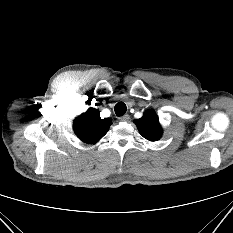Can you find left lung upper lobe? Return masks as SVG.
Masks as SVG:
<instances>
[{
    "label": "left lung upper lobe",
    "mask_w": 233,
    "mask_h": 233,
    "mask_svg": "<svg viewBox=\"0 0 233 233\" xmlns=\"http://www.w3.org/2000/svg\"><path fill=\"white\" fill-rule=\"evenodd\" d=\"M135 123L141 135L147 140L156 141L161 137L162 129L154 111H146L143 117L136 120Z\"/></svg>",
    "instance_id": "obj_1"
}]
</instances>
